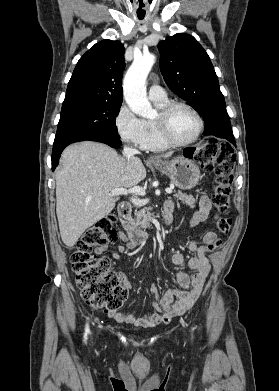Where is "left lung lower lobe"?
<instances>
[{"label":"left lung lower lobe","mask_w":279,"mask_h":391,"mask_svg":"<svg viewBox=\"0 0 279 391\" xmlns=\"http://www.w3.org/2000/svg\"><path fill=\"white\" fill-rule=\"evenodd\" d=\"M224 138L227 139V140L230 141L233 145L236 146L235 141H234V137H233V136H231V135H225ZM184 155H185V156H188L187 153H184Z\"/></svg>","instance_id":"0a47b994"}]
</instances>
